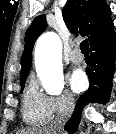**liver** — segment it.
Wrapping results in <instances>:
<instances>
[{
    "label": "liver",
    "mask_w": 116,
    "mask_h": 134,
    "mask_svg": "<svg viewBox=\"0 0 116 134\" xmlns=\"http://www.w3.org/2000/svg\"><path fill=\"white\" fill-rule=\"evenodd\" d=\"M18 134H57L52 128L40 129L38 131H23Z\"/></svg>",
    "instance_id": "liver-1"
}]
</instances>
